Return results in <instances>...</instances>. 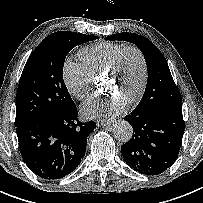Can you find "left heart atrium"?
<instances>
[{
    "mask_svg": "<svg viewBox=\"0 0 203 203\" xmlns=\"http://www.w3.org/2000/svg\"><path fill=\"white\" fill-rule=\"evenodd\" d=\"M124 107V101L116 96L92 97L81 108L86 118L109 119L117 115Z\"/></svg>",
    "mask_w": 203,
    "mask_h": 203,
    "instance_id": "left-heart-atrium-1",
    "label": "left heart atrium"
}]
</instances>
